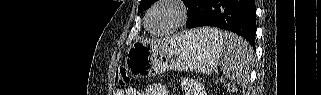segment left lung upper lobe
Listing matches in <instances>:
<instances>
[{
    "label": "left lung upper lobe",
    "mask_w": 321,
    "mask_h": 95,
    "mask_svg": "<svg viewBox=\"0 0 321 95\" xmlns=\"http://www.w3.org/2000/svg\"><path fill=\"white\" fill-rule=\"evenodd\" d=\"M157 0H141L140 2V9L141 10H147L151 4L156 2ZM185 6H188V4L191 2V0H183Z\"/></svg>",
    "instance_id": "5c2ea615"
}]
</instances>
